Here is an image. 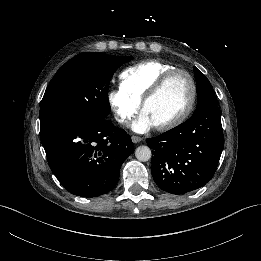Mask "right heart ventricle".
<instances>
[{"label":"right heart ventricle","mask_w":261,"mask_h":261,"mask_svg":"<svg viewBox=\"0 0 261 261\" xmlns=\"http://www.w3.org/2000/svg\"><path fill=\"white\" fill-rule=\"evenodd\" d=\"M176 69L165 61L150 59L132 65L120 74V88L139 103L167 72Z\"/></svg>","instance_id":"1"}]
</instances>
